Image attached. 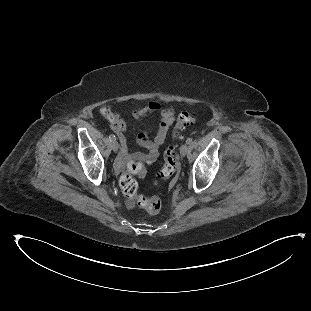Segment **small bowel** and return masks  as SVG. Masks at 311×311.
<instances>
[{
    "mask_svg": "<svg viewBox=\"0 0 311 311\" xmlns=\"http://www.w3.org/2000/svg\"><path fill=\"white\" fill-rule=\"evenodd\" d=\"M155 112H159L161 116L157 132L152 139L149 138L147 133H140L137 137V142L140 146L145 148L146 151L138 152L135 154H131L128 147V142L125 135V121L120 117L116 118L115 124L111 127L120 142L119 160L122 164L128 162L132 158L142 160L143 162L150 164L158 158L159 148L164 143L169 128L174 121L173 108H163L158 102H150L145 106L134 109L131 115L133 119L139 120Z\"/></svg>",
    "mask_w": 311,
    "mask_h": 311,
    "instance_id": "c3829d8e",
    "label": "small bowel"
}]
</instances>
